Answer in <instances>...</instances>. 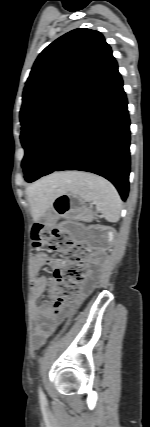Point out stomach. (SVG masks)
<instances>
[{
    "label": "stomach",
    "mask_w": 150,
    "mask_h": 427,
    "mask_svg": "<svg viewBox=\"0 0 150 427\" xmlns=\"http://www.w3.org/2000/svg\"><path fill=\"white\" fill-rule=\"evenodd\" d=\"M51 207L58 216L72 219L82 218L86 212L84 200L69 190L58 192Z\"/></svg>",
    "instance_id": "stomach-1"
}]
</instances>
